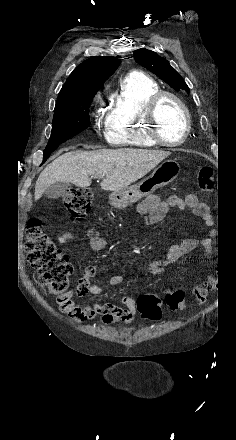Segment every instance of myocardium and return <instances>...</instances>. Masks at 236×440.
<instances>
[{
    "label": "myocardium",
    "mask_w": 236,
    "mask_h": 440,
    "mask_svg": "<svg viewBox=\"0 0 236 440\" xmlns=\"http://www.w3.org/2000/svg\"><path fill=\"white\" fill-rule=\"evenodd\" d=\"M165 98H170L172 100H174L182 109L183 114H184V118H185V128H184V132L183 135L180 139L176 140V141H167L165 140L161 133H160V129H159V121H158V117H157V111L158 108L161 104V102L165 99ZM144 119L145 122L147 124V133L148 136L157 144L160 146H178L183 144L189 134H190V130H191V115L190 112L188 110V107L186 106V104L184 103V101L175 93L170 92V91H159L157 93H155L147 102L146 106H145V111H144Z\"/></svg>",
    "instance_id": "obj_1"
}]
</instances>
